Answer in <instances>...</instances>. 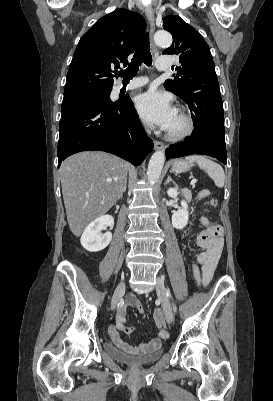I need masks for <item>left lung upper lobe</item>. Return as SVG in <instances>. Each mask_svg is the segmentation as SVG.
Wrapping results in <instances>:
<instances>
[{
  "instance_id": "1",
  "label": "left lung upper lobe",
  "mask_w": 273,
  "mask_h": 401,
  "mask_svg": "<svg viewBox=\"0 0 273 401\" xmlns=\"http://www.w3.org/2000/svg\"><path fill=\"white\" fill-rule=\"evenodd\" d=\"M163 28L173 37L172 45L163 54L179 57L174 79L164 83L166 90L180 98L193 92L220 94L215 64L208 44L195 28L177 15L163 18Z\"/></svg>"
}]
</instances>
